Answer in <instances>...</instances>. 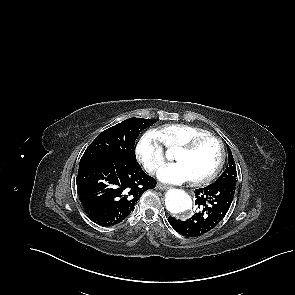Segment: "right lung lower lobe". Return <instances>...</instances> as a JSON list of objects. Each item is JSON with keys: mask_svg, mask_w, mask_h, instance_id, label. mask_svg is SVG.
<instances>
[{"mask_svg": "<svg viewBox=\"0 0 295 295\" xmlns=\"http://www.w3.org/2000/svg\"><path fill=\"white\" fill-rule=\"evenodd\" d=\"M76 183L91 220L111 226L127 218L144 191L155 188L156 180L136 160L116 156L80 164Z\"/></svg>", "mask_w": 295, "mask_h": 295, "instance_id": "right-lung-lower-lobe-1", "label": "right lung lower lobe"}]
</instances>
